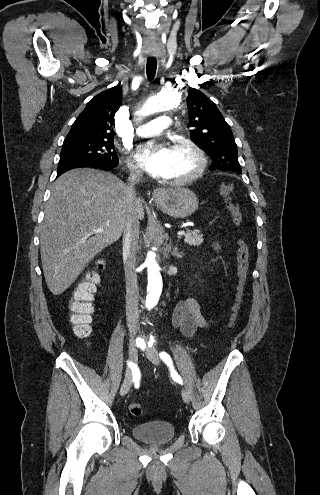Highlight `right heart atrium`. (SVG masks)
Returning a JSON list of instances; mask_svg holds the SVG:
<instances>
[{
  "label": "right heart atrium",
  "mask_w": 320,
  "mask_h": 495,
  "mask_svg": "<svg viewBox=\"0 0 320 495\" xmlns=\"http://www.w3.org/2000/svg\"><path fill=\"white\" fill-rule=\"evenodd\" d=\"M128 168L133 176H139L142 173L140 166L132 161H128Z\"/></svg>",
  "instance_id": "obj_1"
}]
</instances>
